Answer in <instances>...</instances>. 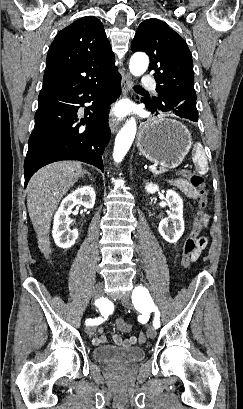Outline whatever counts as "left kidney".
<instances>
[{
	"instance_id": "1",
	"label": "left kidney",
	"mask_w": 243,
	"mask_h": 409,
	"mask_svg": "<svg viewBox=\"0 0 243 409\" xmlns=\"http://www.w3.org/2000/svg\"><path fill=\"white\" fill-rule=\"evenodd\" d=\"M145 190L149 194H154L159 190V187L156 184L148 183ZM166 201L172 212L161 220L158 230L167 242L175 243L184 232L183 200L175 191L167 190Z\"/></svg>"
}]
</instances>
